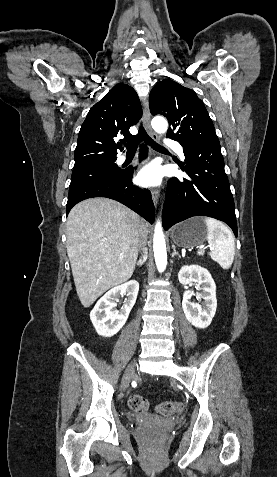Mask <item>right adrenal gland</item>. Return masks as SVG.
Instances as JSON below:
<instances>
[{
	"label": "right adrenal gland",
	"instance_id": "2a0ac1e0",
	"mask_svg": "<svg viewBox=\"0 0 277 477\" xmlns=\"http://www.w3.org/2000/svg\"><path fill=\"white\" fill-rule=\"evenodd\" d=\"M147 259V253L145 254V256L140 259L138 262H137V266H141L142 264H144V262L146 261Z\"/></svg>",
	"mask_w": 277,
	"mask_h": 477
}]
</instances>
